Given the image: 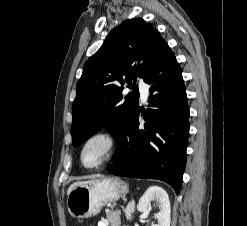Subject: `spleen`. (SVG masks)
I'll return each mask as SVG.
<instances>
[{"instance_id": "obj_1", "label": "spleen", "mask_w": 247, "mask_h": 226, "mask_svg": "<svg viewBox=\"0 0 247 226\" xmlns=\"http://www.w3.org/2000/svg\"><path fill=\"white\" fill-rule=\"evenodd\" d=\"M133 205H134V202H131L128 204L126 210H125V213L127 215V217L130 216V214L133 212Z\"/></svg>"}]
</instances>
